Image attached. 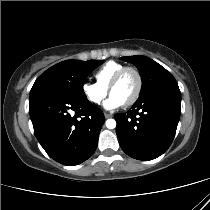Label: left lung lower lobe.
<instances>
[{
	"label": "left lung lower lobe",
	"instance_id": "obj_1",
	"mask_svg": "<svg viewBox=\"0 0 210 210\" xmlns=\"http://www.w3.org/2000/svg\"><path fill=\"white\" fill-rule=\"evenodd\" d=\"M178 85L157 89L139 98L127 113L115 114L123 151L138 160H152L171 145L180 118Z\"/></svg>",
	"mask_w": 210,
	"mask_h": 210
}]
</instances>
